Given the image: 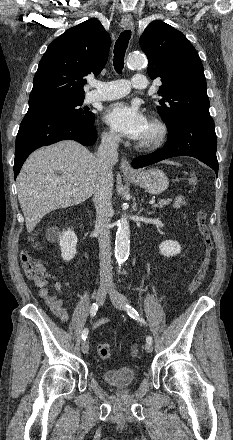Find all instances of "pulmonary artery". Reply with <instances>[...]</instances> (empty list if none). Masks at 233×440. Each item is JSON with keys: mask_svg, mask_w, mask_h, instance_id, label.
I'll return each instance as SVG.
<instances>
[{"mask_svg": "<svg viewBox=\"0 0 233 440\" xmlns=\"http://www.w3.org/2000/svg\"><path fill=\"white\" fill-rule=\"evenodd\" d=\"M95 88L88 94V101H105L118 99L126 96L131 88L145 89L147 87L146 77L142 74H135L129 80H113L108 82H98Z\"/></svg>", "mask_w": 233, "mask_h": 440, "instance_id": "e3ab8cb5", "label": "pulmonary artery"}]
</instances>
